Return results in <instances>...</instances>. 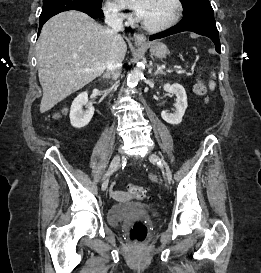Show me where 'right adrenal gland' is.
I'll return each instance as SVG.
<instances>
[{
  "instance_id": "obj_1",
  "label": "right adrenal gland",
  "mask_w": 261,
  "mask_h": 273,
  "mask_svg": "<svg viewBox=\"0 0 261 273\" xmlns=\"http://www.w3.org/2000/svg\"><path fill=\"white\" fill-rule=\"evenodd\" d=\"M103 79H110V74L107 72L102 76Z\"/></svg>"
}]
</instances>
